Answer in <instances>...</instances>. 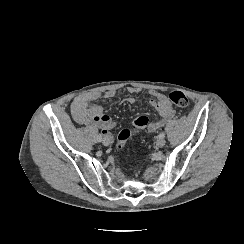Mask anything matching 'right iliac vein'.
I'll list each match as a JSON object with an SVG mask.
<instances>
[{
  "instance_id": "obj_1",
  "label": "right iliac vein",
  "mask_w": 244,
  "mask_h": 244,
  "mask_svg": "<svg viewBox=\"0 0 244 244\" xmlns=\"http://www.w3.org/2000/svg\"><path fill=\"white\" fill-rule=\"evenodd\" d=\"M102 143H103V145H105V146L110 145V143H111V139H110V137L105 136L104 139H103V141H102Z\"/></svg>"
}]
</instances>
